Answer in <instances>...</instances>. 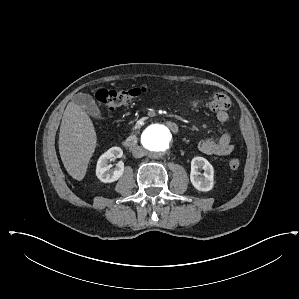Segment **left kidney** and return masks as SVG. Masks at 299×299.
<instances>
[{"label": "left kidney", "mask_w": 299, "mask_h": 299, "mask_svg": "<svg viewBox=\"0 0 299 299\" xmlns=\"http://www.w3.org/2000/svg\"><path fill=\"white\" fill-rule=\"evenodd\" d=\"M199 169H203L201 176ZM190 181L198 191L207 192L214 186V168L203 157H194L191 161Z\"/></svg>", "instance_id": "5707ae66"}]
</instances>
